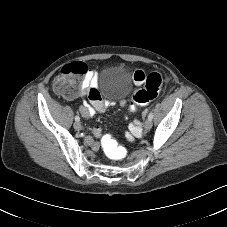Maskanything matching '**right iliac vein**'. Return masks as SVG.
I'll list each match as a JSON object with an SVG mask.
<instances>
[{"label":"right iliac vein","instance_id":"obj_1","mask_svg":"<svg viewBox=\"0 0 227 227\" xmlns=\"http://www.w3.org/2000/svg\"><path fill=\"white\" fill-rule=\"evenodd\" d=\"M74 129L76 131H80L82 129V126H81L80 122H75L74 123Z\"/></svg>","mask_w":227,"mask_h":227}]
</instances>
